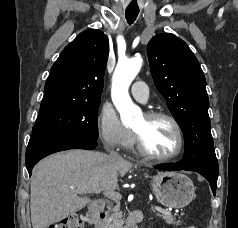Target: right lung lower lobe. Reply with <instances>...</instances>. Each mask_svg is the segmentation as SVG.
Here are the masks:
<instances>
[{"mask_svg": "<svg viewBox=\"0 0 238 228\" xmlns=\"http://www.w3.org/2000/svg\"><path fill=\"white\" fill-rule=\"evenodd\" d=\"M97 139L79 134H32L26 150V167L31 175L32 168L42 158L68 149H94Z\"/></svg>", "mask_w": 238, "mask_h": 228, "instance_id": "1", "label": "right lung lower lobe"}]
</instances>
